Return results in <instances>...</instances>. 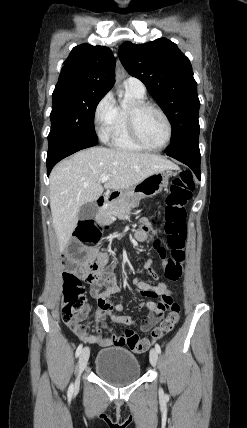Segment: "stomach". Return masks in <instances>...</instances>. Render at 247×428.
Wrapping results in <instances>:
<instances>
[{
	"label": "stomach",
	"mask_w": 247,
	"mask_h": 428,
	"mask_svg": "<svg viewBox=\"0 0 247 428\" xmlns=\"http://www.w3.org/2000/svg\"><path fill=\"white\" fill-rule=\"evenodd\" d=\"M178 174V169L157 172L139 184L123 190L121 193L129 201L137 202L142 197H153L168 186L169 178Z\"/></svg>",
	"instance_id": "0dacf381"
}]
</instances>
